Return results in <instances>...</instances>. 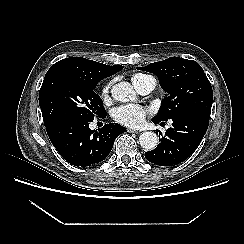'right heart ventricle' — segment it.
I'll use <instances>...</instances> for the list:
<instances>
[{"label": "right heart ventricle", "mask_w": 244, "mask_h": 244, "mask_svg": "<svg viewBox=\"0 0 244 244\" xmlns=\"http://www.w3.org/2000/svg\"><path fill=\"white\" fill-rule=\"evenodd\" d=\"M147 76H148V75H146V74L135 73V74L132 75V77H131V81H132L133 85H134L135 87H137V86L142 82V80H143L145 77H147Z\"/></svg>", "instance_id": "1"}]
</instances>
